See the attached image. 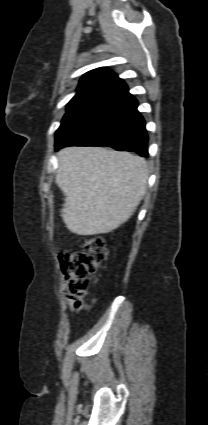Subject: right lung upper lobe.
<instances>
[{
    "instance_id": "obj_1",
    "label": "right lung upper lobe",
    "mask_w": 208,
    "mask_h": 425,
    "mask_svg": "<svg viewBox=\"0 0 208 425\" xmlns=\"http://www.w3.org/2000/svg\"><path fill=\"white\" fill-rule=\"evenodd\" d=\"M118 79V76L108 68L101 67L91 70L80 79L77 94L89 92L100 93Z\"/></svg>"
}]
</instances>
